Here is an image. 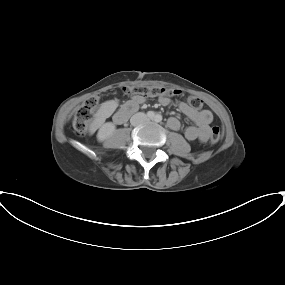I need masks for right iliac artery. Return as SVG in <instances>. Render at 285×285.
<instances>
[{
  "label": "right iliac artery",
  "instance_id": "1",
  "mask_svg": "<svg viewBox=\"0 0 285 285\" xmlns=\"http://www.w3.org/2000/svg\"><path fill=\"white\" fill-rule=\"evenodd\" d=\"M147 116H148L150 119H153L154 116H155V114H154L153 111H148V112H147Z\"/></svg>",
  "mask_w": 285,
  "mask_h": 285
}]
</instances>
